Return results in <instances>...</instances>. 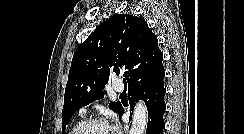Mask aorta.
Masks as SVG:
<instances>
[{
	"mask_svg": "<svg viewBox=\"0 0 244 134\" xmlns=\"http://www.w3.org/2000/svg\"><path fill=\"white\" fill-rule=\"evenodd\" d=\"M147 122V107L142 101H139L134 108L132 126L129 134H144L146 132Z\"/></svg>",
	"mask_w": 244,
	"mask_h": 134,
	"instance_id": "aorta-1",
	"label": "aorta"
}]
</instances>
